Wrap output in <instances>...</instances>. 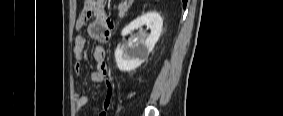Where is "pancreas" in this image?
<instances>
[{
  "label": "pancreas",
  "instance_id": "cf45deb5",
  "mask_svg": "<svg viewBox=\"0 0 283 116\" xmlns=\"http://www.w3.org/2000/svg\"><path fill=\"white\" fill-rule=\"evenodd\" d=\"M118 9H119V14H118L119 17L123 18L125 16L127 9H128V6L123 3V4L119 5Z\"/></svg>",
  "mask_w": 283,
  "mask_h": 116
}]
</instances>
